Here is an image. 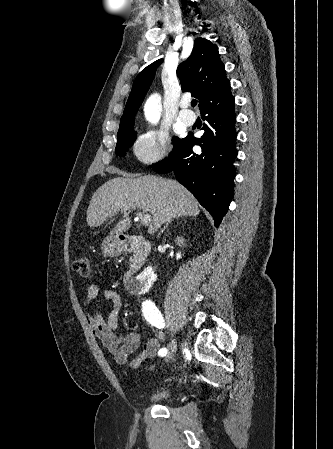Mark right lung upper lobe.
<instances>
[{
	"label": "right lung upper lobe",
	"instance_id": "1",
	"mask_svg": "<svg viewBox=\"0 0 333 449\" xmlns=\"http://www.w3.org/2000/svg\"><path fill=\"white\" fill-rule=\"evenodd\" d=\"M159 59L145 67L136 77L121 121H134L149 86L154 79ZM183 91H189L199 100V108L219 93L230 88L218 47L205 38H197L190 57L177 68Z\"/></svg>",
	"mask_w": 333,
	"mask_h": 449
}]
</instances>
